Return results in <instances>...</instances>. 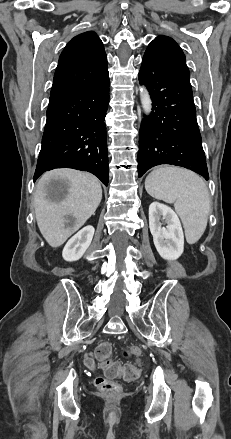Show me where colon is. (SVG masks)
I'll use <instances>...</instances> for the list:
<instances>
[{
  "mask_svg": "<svg viewBox=\"0 0 231 439\" xmlns=\"http://www.w3.org/2000/svg\"><path fill=\"white\" fill-rule=\"evenodd\" d=\"M112 348L108 342L101 343L96 351V357L100 361L103 375L97 376L94 380L96 387L105 393H117L120 390V386L115 382V379L122 377L126 381H132L136 379L140 374V368L138 364H125L121 365L119 362L111 359ZM125 357L139 358L142 351L137 346H131L124 350Z\"/></svg>",
  "mask_w": 231,
  "mask_h": 439,
  "instance_id": "5ec220e1",
  "label": "colon"
}]
</instances>
